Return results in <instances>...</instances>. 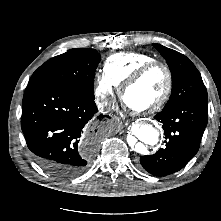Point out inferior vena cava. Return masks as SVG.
I'll use <instances>...</instances> for the list:
<instances>
[{
    "instance_id": "obj_1",
    "label": "inferior vena cava",
    "mask_w": 221,
    "mask_h": 221,
    "mask_svg": "<svg viewBox=\"0 0 221 221\" xmlns=\"http://www.w3.org/2000/svg\"><path fill=\"white\" fill-rule=\"evenodd\" d=\"M97 106L100 112L107 113L111 109V102L107 99H101L97 102Z\"/></svg>"
}]
</instances>
